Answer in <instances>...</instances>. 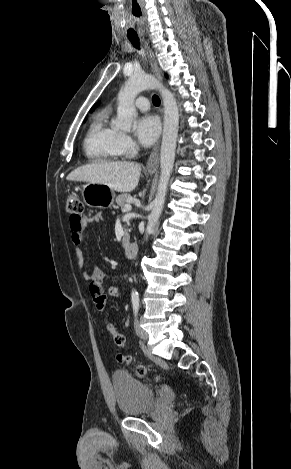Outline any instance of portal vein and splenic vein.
<instances>
[{"label": "portal vein and splenic vein", "mask_w": 291, "mask_h": 469, "mask_svg": "<svg viewBox=\"0 0 291 469\" xmlns=\"http://www.w3.org/2000/svg\"><path fill=\"white\" fill-rule=\"evenodd\" d=\"M131 209H132L131 205H130V204H126V205L124 206V209H123V210H124V211H130Z\"/></svg>", "instance_id": "obj_1"}]
</instances>
